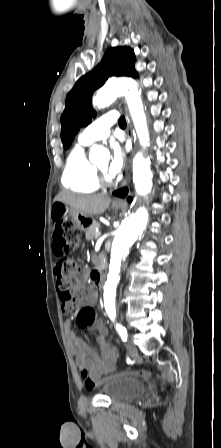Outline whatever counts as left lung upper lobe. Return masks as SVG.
<instances>
[{"mask_svg": "<svg viewBox=\"0 0 221 448\" xmlns=\"http://www.w3.org/2000/svg\"><path fill=\"white\" fill-rule=\"evenodd\" d=\"M135 55L129 47L110 48L104 54L100 64L91 72L82 76L66 97L65 110L61 116V139L68 149L81 126L91 122L95 112L92 110L93 92L113 75L136 78Z\"/></svg>", "mask_w": 221, "mask_h": 448, "instance_id": "1", "label": "left lung upper lobe"}]
</instances>
